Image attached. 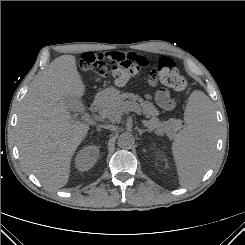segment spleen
<instances>
[{
	"mask_svg": "<svg viewBox=\"0 0 245 245\" xmlns=\"http://www.w3.org/2000/svg\"><path fill=\"white\" fill-rule=\"evenodd\" d=\"M185 127L175 137L172 152L179 184L189 187L197 183L212 161L216 133L215 116L209 97L195 90L191 93L184 113Z\"/></svg>",
	"mask_w": 245,
	"mask_h": 245,
	"instance_id": "1",
	"label": "spleen"
}]
</instances>
